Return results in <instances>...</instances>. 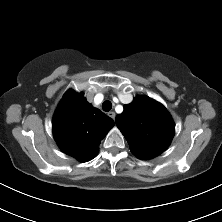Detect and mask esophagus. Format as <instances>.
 <instances>
[{
	"label": "esophagus",
	"instance_id": "esophagus-1",
	"mask_svg": "<svg viewBox=\"0 0 222 222\" xmlns=\"http://www.w3.org/2000/svg\"><path fill=\"white\" fill-rule=\"evenodd\" d=\"M108 116L110 117V118H112V119H115V112H113V111H110V112H108Z\"/></svg>",
	"mask_w": 222,
	"mask_h": 222
}]
</instances>
